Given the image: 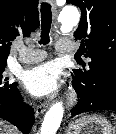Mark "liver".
Returning <instances> with one entry per match:
<instances>
[{
    "mask_svg": "<svg viewBox=\"0 0 116 134\" xmlns=\"http://www.w3.org/2000/svg\"><path fill=\"white\" fill-rule=\"evenodd\" d=\"M0 134H17V131L12 126L0 120Z\"/></svg>",
    "mask_w": 116,
    "mask_h": 134,
    "instance_id": "obj_1",
    "label": "liver"
}]
</instances>
